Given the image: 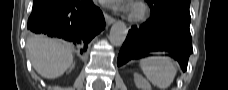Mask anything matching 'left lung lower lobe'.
Segmentation results:
<instances>
[{
	"label": "left lung lower lobe",
	"mask_w": 228,
	"mask_h": 90,
	"mask_svg": "<svg viewBox=\"0 0 228 90\" xmlns=\"http://www.w3.org/2000/svg\"><path fill=\"white\" fill-rule=\"evenodd\" d=\"M151 16L140 27L133 26L128 32L118 55L117 65L131 59L147 56V52L164 49L171 52L183 71L187 70L188 59L193 52L189 30L190 12L168 11L150 5Z\"/></svg>",
	"instance_id": "0a47b994"
}]
</instances>
